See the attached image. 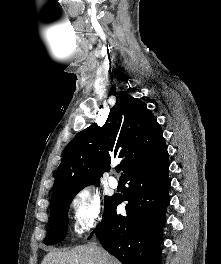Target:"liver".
<instances>
[{
    "mask_svg": "<svg viewBox=\"0 0 221 264\" xmlns=\"http://www.w3.org/2000/svg\"><path fill=\"white\" fill-rule=\"evenodd\" d=\"M41 264H120L94 244L77 246L70 251L49 252Z\"/></svg>",
    "mask_w": 221,
    "mask_h": 264,
    "instance_id": "6515ba94",
    "label": "liver"
}]
</instances>
